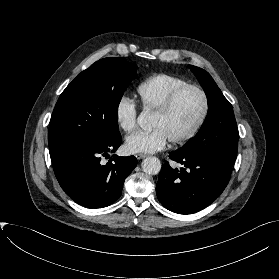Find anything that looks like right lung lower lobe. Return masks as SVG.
<instances>
[{"label":"right lung lower lobe","mask_w":279,"mask_h":279,"mask_svg":"<svg viewBox=\"0 0 279 279\" xmlns=\"http://www.w3.org/2000/svg\"><path fill=\"white\" fill-rule=\"evenodd\" d=\"M121 144V135L96 145H79L51 156L55 176L61 188L78 204L103 208L115 202L122 193L123 183L137 164L134 156L114 158L104 165Z\"/></svg>","instance_id":"obj_1"}]
</instances>
